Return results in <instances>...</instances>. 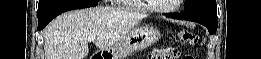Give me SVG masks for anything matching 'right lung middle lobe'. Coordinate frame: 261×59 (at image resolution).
Masks as SVG:
<instances>
[{
    "label": "right lung middle lobe",
    "instance_id": "1",
    "mask_svg": "<svg viewBox=\"0 0 261 59\" xmlns=\"http://www.w3.org/2000/svg\"><path fill=\"white\" fill-rule=\"evenodd\" d=\"M58 1H60V0H39L38 13H41L46 8L52 6L53 4H55Z\"/></svg>",
    "mask_w": 261,
    "mask_h": 59
}]
</instances>
